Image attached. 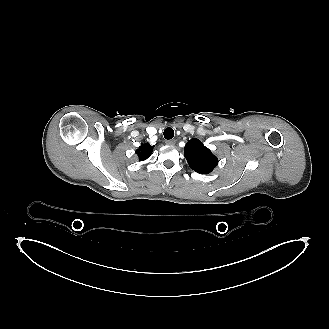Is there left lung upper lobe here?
Masks as SVG:
<instances>
[{"instance_id":"1","label":"left lung upper lobe","mask_w":329,"mask_h":329,"mask_svg":"<svg viewBox=\"0 0 329 329\" xmlns=\"http://www.w3.org/2000/svg\"><path fill=\"white\" fill-rule=\"evenodd\" d=\"M184 156L190 168L201 174L212 172L218 164L217 157L196 138L187 142Z\"/></svg>"}]
</instances>
